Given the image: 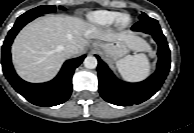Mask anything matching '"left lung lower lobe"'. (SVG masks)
Returning a JSON list of instances; mask_svg holds the SVG:
<instances>
[{"label":"left lung lower lobe","mask_w":194,"mask_h":133,"mask_svg":"<svg viewBox=\"0 0 194 133\" xmlns=\"http://www.w3.org/2000/svg\"><path fill=\"white\" fill-rule=\"evenodd\" d=\"M133 31L152 35L158 44V63L156 72L140 83L119 81L98 57L99 92L104 100L119 106L140 104L152 97L162 86L170 70V50L157 20L147 17L132 26Z\"/></svg>","instance_id":"1"}]
</instances>
